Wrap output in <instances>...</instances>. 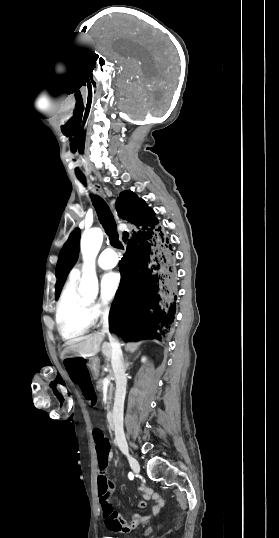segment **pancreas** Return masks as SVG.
<instances>
[{
  "label": "pancreas",
  "mask_w": 279,
  "mask_h": 538,
  "mask_svg": "<svg viewBox=\"0 0 279 538\" xmlns=\"http://www.w3.org/2000/svg\"><path fill=\"white\" fill-rule=\"evenodd\" d=\"M97 362H99L98 358H96ZM97 390L98 392H102L103 390V378H100V380H97ZM113 390L114 386L113 384H109L108 392H107V410L110 408V404H112V398H113Z\"/></svg>",
  "instance_id": "pancreas-1"
}]
</instances>
